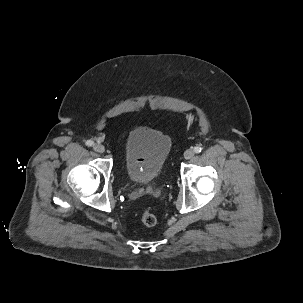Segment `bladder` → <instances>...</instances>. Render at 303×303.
I'll use <instances>...</instances> for the list:
<instances>
[{
	"instance_id": "bladder-1",
	"label": "bladder",
	"mask_w": 303,
	"mask_h": 303,
	"mask_svg": "<svg viewBox=\"0 0 303 303\" xmlns=\"http://www.w3.org/2000/svg\"><path fill=\"white\" fill-rule=\"evenodd\" d=\"M172 140L166 133L149 127H136L124 141L127 176L135 184L148 185L162 172Z\"/></svg>"
}]
</instances>
